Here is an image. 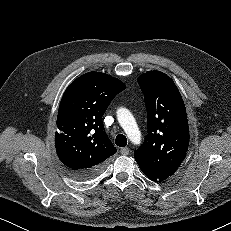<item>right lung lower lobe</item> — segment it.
Returning a JSON list of instances; mask_svg holds the SVG:
<instances>
[{"mask_svg": "<svg viewBox=\"0 0 231 231\" xmlns=\"http://www.w3.org/2000/svg\"><path fill=\"white\" fill-rule=\"evenodd\" d=\"M102 171V168L91 169L81 172H71L73 177L78 180H87L97 176Z\"/></svg>", "mask_w": 231, "mask_h": 231, "instance_id": "1", "label": "right lung lower lobe"}]
</instances>
